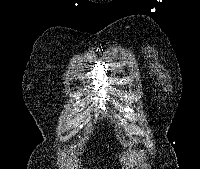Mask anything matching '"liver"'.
<instances>
[{
	"mask_svg": "<svg viewBox=\"0 0 200 169\" xmlns=\"http://www.w3.org/2000/svg\"><path fill=\"white\" fill-rule=\"evenodd\" d=\"M125 156H126V154H125ZM125 156H122V157L120 158V161H121V162H124V163H125L126 159H130L129 156H128L127 158H126ZM130 156H132V155H130Z\"/></svg>",
	"mask_w": 200,
	"mask_h": 169,
	"instance_id": "1",
	"label": "liver"
}]
</instances>
